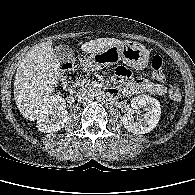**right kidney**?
Returning <instances> with one entry per match:
<instances>
[{
	"instance_id": "right-kidney-1",
	"label": "right kidney",
	"mask_w": 195,
	"mask_h": 195,
	"mask_svg": "<svg viewBox=\"0 0 195 195\" xmlns=\"http://www.w3.org/2000/svg\"><path fill=\"white\" fill-rule=\"evenodd\" d=\"M68 120L65 102L59 95H54L45 100L37 119V127L41 132L51 133L59 131Z\"/></svg>"
}]
</instances>
